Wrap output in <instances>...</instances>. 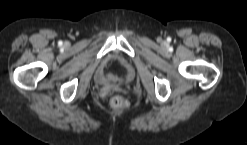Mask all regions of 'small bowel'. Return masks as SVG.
Returning <instances> with one entry per match:
<instances>
[{
  "label": "small bowel",
  "instance_id": "small-bowel-1",
  "mask_svg": "<svg viewBox=\"0 0 247 145\" xmlns=\"http://www.w3.org/2000/svg\"><path fill=\"white\" fill-rule=\"evenodd\" d=\"M110 80L117 82L119 84H122L124 81V77L123 76H117V75H113V74H109L107 76Z\"/></svg>",
  "mask_w": 247,
  "mask_h": 145
}]
</instances>
